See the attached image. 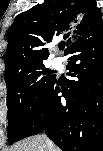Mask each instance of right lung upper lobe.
<instances>
[{"label":"right lung upper lobe","instance_id":"right-lung-upper-lobe-1","mask_svg":"<svg viewBox=\"0 0 103 151\" xmlns=\"http://www.w3.org/2000/svg\"><path fill=\"white\" fill-rule=\"evenodd\" d=\"M91 0H45L16 16L8 29L5 82L24 68L43 63L49 56L44 46L56 36L68 39L67 48L78 38L102 26ZM66 48V49H67Z\"/></svg>","mask_w":103,"mask_h":151}]
</instances>
